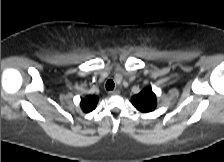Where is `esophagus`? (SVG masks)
I'll return each mask as SVG.
<instances>
[{
  "mask_svg": "<svg viewBox=\"0 0 224 162\" xmlns=\"http://www.w3.org/2000/svg\"><path fill=\"white\" fill-rule=\"evenodd\" d=\"M119 93H120V91L118 89H114V90L108 92L109 95H117Z\"/></svg>",
  "mask_w": 224,
  "mask_h": 162,
  "instance_id": "1",
  "label": "esophagus"
}]
</instances>
